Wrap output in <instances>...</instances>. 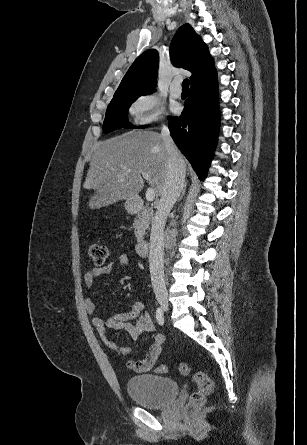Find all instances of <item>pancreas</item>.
<instances>
[{
  "mask_svg": "<svg viewBox=\"0 0 307 445\" xmlns=\"http://www.w3.org/2000/svg\"><path fill=\"white\" fill-rule=\"evenodd\" d=\"M152 218H153L152 208H146V206H142L141 212L137 214V218H135L133 223V227L135 229L134 235L137 241H143L145 235V229H148Z\"/></svg>",
  "mask_w": 307,
  "mask_h": 445,
  "instance_id": "1",
  "label": "pancreas"
}]
</instances>
